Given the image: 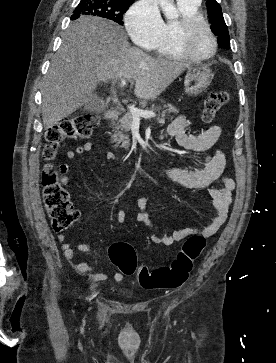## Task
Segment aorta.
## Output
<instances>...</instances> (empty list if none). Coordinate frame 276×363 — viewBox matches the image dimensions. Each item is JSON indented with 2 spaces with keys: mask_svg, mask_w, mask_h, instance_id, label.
<instances>
[{
  "mask_svg": "<svg viewBox=\"0 0 276 363\" xmlns=\"http://www.w3.org/2000/svg\"><path fill=\"white\" fill-rule=\"evenodd\" d=\"M159 5L167 19L173 20L178 18V10L174 5L173 0H159Z\"/></svg>",
  "mask_w": 276,
  "mask_h": 363,
  "instance_id": "762f6f07",
  "label": "aorta"
}]
</instances>
